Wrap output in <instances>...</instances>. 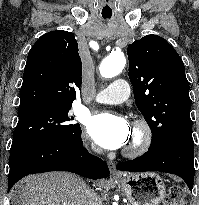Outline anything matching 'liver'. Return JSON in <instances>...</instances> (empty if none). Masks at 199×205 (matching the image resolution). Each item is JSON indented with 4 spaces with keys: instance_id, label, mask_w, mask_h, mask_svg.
<instances>
[{
    "instance_id": "1",
    "label": "liver",
    "mask_w": 199,
    "mask_h": 205,
    "mask_svg": "<svg viewBox=\"0 0 199 205\" xmlns=\"http://www.w3.org/2000/svg\"><path fill=\"white\" fill-rule=\"evenodd\" d=\"M20 196L19 205H87V185L78 176L66 172H49L31 175Z\"/></svg>"
}]
</instances>
